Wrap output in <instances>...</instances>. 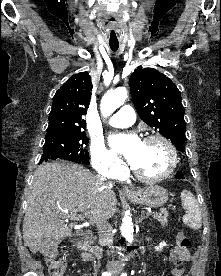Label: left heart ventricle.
<instances>
[{"label": "left heart ventricle", "mask_w": 221, "mask_h": 276, "mask_svg": "<svg viewBox=\"0 0 221 276\" xmlns=\"http://www.w3.org/2000/svg\"><path fill=\"white\" fill-rule=\"evenodd\" d=\"M169 154L159 141L143 142L140 155L134 166L143 174L154 176L166 170Z\"/></svg>", "instance_id": "b2bd125f"}]
</instances>
